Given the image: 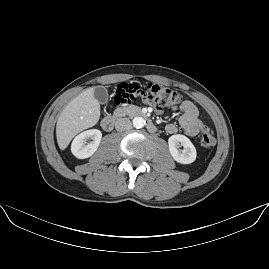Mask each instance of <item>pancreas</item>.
<instances>
[{
  "label": "pancreas",
  "instance_id": "obj_1",
  "mask_svg": "<svg viewBox=\"0 0 269 269\" xmlns=\"http://www.w3.org/2000/svg\"><path fill=\"white\" fill-rule=\"evenodd\" d=\"M141 111V108L135 105H129L125 106L123 108H117L114 112L116 116H124V115H130L135 116L137 113Z\"/></svg>",
  "mask_w": 269,
  "mask_h": 269
}]
</instances>
